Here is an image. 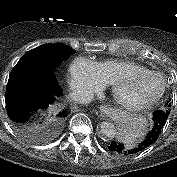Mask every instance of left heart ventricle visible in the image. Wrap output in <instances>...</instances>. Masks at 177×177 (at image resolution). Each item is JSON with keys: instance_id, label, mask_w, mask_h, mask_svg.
Masks as SVG:
<instances>
[{"instance_id": "b2bd125f", "label": "left heart ventricle", "mask_w": 177, "mask_h": 177, "mask_svg": "<svg viewBox=\"0 0 177 177\" xmlns=\"http://www.w3.org/2000/svg\"><path fill=\"white\" fill-rule=\"evenodd\" d=\"M161 88L158 78L140 76L123 82L119 88V98L127 103H140L156 96Z\"/></svg>"}]
</instances>
